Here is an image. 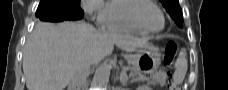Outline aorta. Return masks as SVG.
<instances>
[{"instance_id": "762f6f07", "label": "aorta", "mask_w": 228, "mask_h": 90, "mask_svg": "<svg viewBox=\"0 0 228 90\" xmlns=\"http://www.w3.org/2000/svg\"><path fill=\"white\" fill-rule=\"evenodd\" d=\"M111 67L108 64H103L96 72V83L104 85L109 81Z\"/></svg>"}]
</instances>
